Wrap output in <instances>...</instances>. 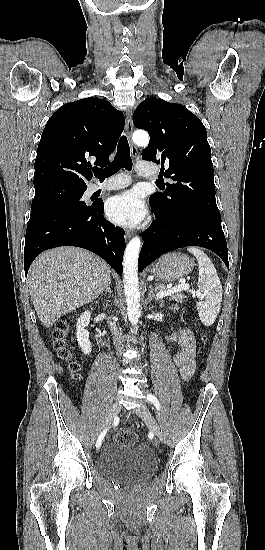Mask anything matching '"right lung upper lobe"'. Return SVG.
Instances as JSON below:
<instances>
[{
  "mask_svg": "<svg viewBox=\"0 0 265 550\" xmlns=\"http://www.w3.org/2000/svg\"><path fill=\"white\" fill-rule=\"evenodd\" d=\"M125 118L108 101L85 98L59 108L47 122L35 160L34 187L63 185L87 189L95 165L108 157L124 129Z\"/></svg>",
  "mask_w": 265,
  "mask_h": 550,
  "instance_id": "cb5924a9",
  "label": "right lung upper lobe"
}]
</instances>
